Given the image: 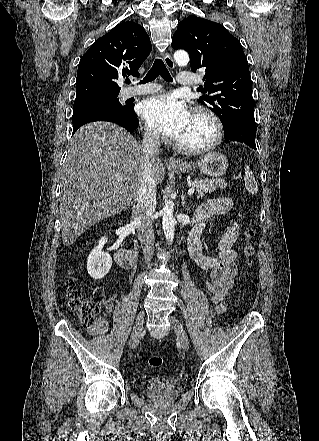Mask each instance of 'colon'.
<instances>
[{"mask_svg": "<svg viewBox=\"0 0 319 441\" xmlns=\"http://www.w3.org/2000/svg\"><path fill=\"white\" fill-rule=\"evenodd\" d=\"M254 230L248 227L244 231L245 245L243 248V254L245 257V263L248 266L253 264V256L255 254V249L253 246ZM68 303L71 309L75 312L79 318L81 324L90 328L95 323V317L99 311V306L91 301L83 298L82 293L77 288L73 281L66 283ZM163 359L159 356H151L148 360V364L152 368H160L162 366Z\"/></svg>", "mask_w": 319, "mask_h": 441, "instance_id": "colon-1", "label": "colon"}]
</instances>
